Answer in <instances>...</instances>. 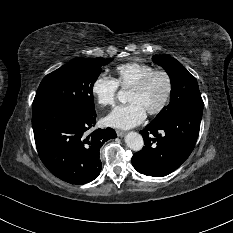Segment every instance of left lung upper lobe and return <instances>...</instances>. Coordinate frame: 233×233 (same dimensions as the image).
I'll list each match as a JSON object with an SVG mask.
<instances>
[{"instance_id": "obj_1", "label": "left lung upper lobe", "mask_w": 233, "mask_h": 233, "mask_svg": "<svg viewBox=\"0 0 233 233\" xmlns=\"http://www.w3.org/2000/svg\"><path fill=\"white\" fill-rule=\"evenodd\" d=\"M153 61L162 66L170 77L171 100L151 123H161L175 116L187 106L203 102L195 77L180 62L164 55L153 56Z\"/></svg>"}]
</instances>
